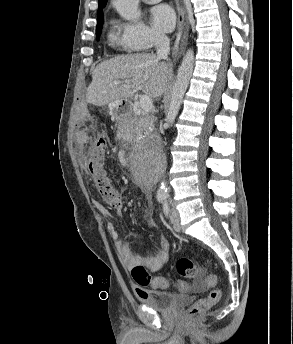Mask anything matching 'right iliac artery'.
<instances>
[{"label": "right iliac artery", "mask_w": 293, "mask_h": 344, "mask_svg": "<svg viewBox=\"0 0 293 344\" xmlns=\"http://www.w3.org/2000/svg\"><path fill=\"white\" fill-rule=\"evenodd\" d=\"M157 199H158V201H159V202H161V203H162L163 201H165V200H166V197H165V196H158V198H157Z\"/></svg>", "instance_id": "1"}]
</instances>
